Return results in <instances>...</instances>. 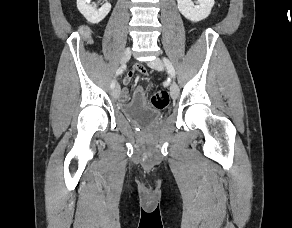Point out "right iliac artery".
Masks as SVG:
<instances>
[{
    "instance_id": "right-iliac-artery-1",
    "label": "right iliac artery",
    "mask_w": 292,
    "mask_h": 228,
    "mask_svg": "<svg viewBox=\"0 0 292 228\" xmlns=\"http://www.w3.org/2000/svg\"><path fill=\"white\" fill-rule=\"evenodd\" d=\"M125 69V66H121L119 67L117 70H116V76L120 75L123 73ZM111 89H114L115 88V79L111 82V85H110Z\"/></svg>"
}]
</instances>
